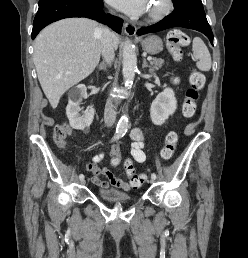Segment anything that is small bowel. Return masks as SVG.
<instances>
[{"mask_svg": "<svg viewBox=\"0 0 248 258\" xmlns=\"http://www.w3.org/2000/svg\"><path fill=\"white\" fill-rule=\"evenodd\" d=\"M131 139L133 140L131 145V156L137 163H143L146 161V154L144 152V133L140 129H133L131 132ZM103 153L97 154L93 158V162L86 165L88 171L93 173L92 183L101 188H119L122 190H130L134 188L132 182H127L123 179L116 178L107 168H99L98 163L103 159ZM102 175L108 178V181L102 179Z\"/></svg>", "mask_w": 248, "mask_h": 258, "instance_id": "obj_1", "label": "small bowel"}]
</instances>
